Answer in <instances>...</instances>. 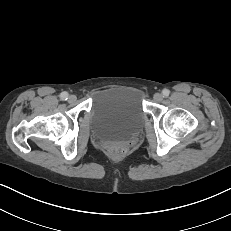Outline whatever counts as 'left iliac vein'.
Wrapping results in <instances>:
<instances>
[{
  "label": "left iliac vein",
  "mask_w": 231,
  "mask_h": 231,
  "mask_svg": "<svg viewBox=\"0 0 231 231\" xmlns=\"http://www.w3.org/2000/svg\"><path fill=\"white\" fill-rule=\"evenodd\" d=\"M153 99H154V101H156V102H161L162 99H163V96H162V94H160V93H155L154 96H153Z\"/></svg>",
  "instance_id": "left-iliac-vein-1"
}]
</instances>
